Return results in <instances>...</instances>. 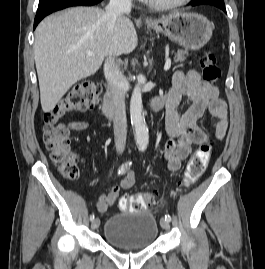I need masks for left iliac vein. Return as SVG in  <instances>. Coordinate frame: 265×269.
Masks as SVG:
<instances>
[{
	"mask_svg": "<svg viewBox=\"0 0 265 269\" xmlns=\"http://www.w3.org/2000/svg\"><path fill=\"white\" fill-rule=\"evenodd\" d=\"M160 225L164 230H168L170 228L169 222L165 219H161Z\"/></svg>",
	"mask_w": 265,
	"mask_h": 269,
	"instance_id": "left-iliac-vein-1",
	"label": "left iliac vein"
}]
</instances>
